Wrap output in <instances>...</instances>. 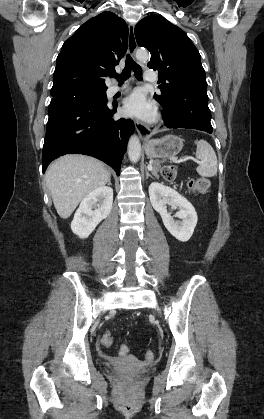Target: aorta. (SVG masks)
Here are the masks:
<instances>
[{
    "instance_id": "1",
    "label": "aorta",
    "mask_w": 264,
    "mask_h": 419,
    "mask_svg": "<svg viewBox=\"0 0 264 419\" xmlns=\"http://www.w3.org/2000/svg\"><path fill=\"white\" fill-rule=\"evenodd\" d=\"M136 58L138 61L146 62L149 59V53L147 50L139 49L136 52ZM141 155V144L140 140L136 135L131 136L128 143V156L129 159L136 163Z\"/></svg>"
}]
</instances>
